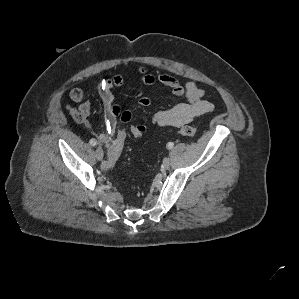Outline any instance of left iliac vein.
Returning a JSON list of instances; mask_svg holds the SVG:
<instances>
[{
  "label": "left iliac vein",
  "instance_id": "left-iliac-vein-1",
  "mask_svg": "<svg viewBox=\"0 0 299 299\" xmlns=\"http://www.w3.org/2000/svg\"><path fill=\"white\" fill-rule=\"evenodd\" d=\"M169 166H170V159L168 157H165L162 162V167L167 169L169 168Z\"/></svg>",
  "mask_w": 299,
  "mask_h": 299
}]
</instances>
